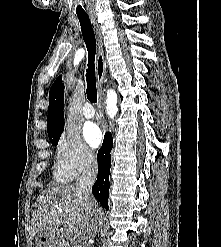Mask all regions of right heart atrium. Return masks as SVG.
<instances>
[{
  "instance_id": "right-heart-atrium-1",
  "label": "right heart atrium",
  "mask_w": 221,
  "mask_h": 247,
  "mask_svg": "<svg viewBox=\"0 0 221 247\" xmlns=\"http://www.w3.org/2000/svg\"><path fill=\"white\" fill-rule=\"evenodd\" d=\"M94 152L82 141L78 132L67 127L60 135L56 148L53 174L59 182H69L92 168Z\"/></svg>"
}]
</instances>
